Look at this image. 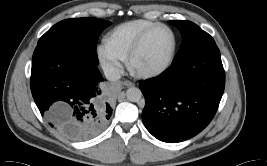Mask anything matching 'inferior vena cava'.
I'll return each mask as SVG.
<instances>
[{
  "mask_svg": "<svg viewBox=\"0 0 267 166\" xmlns=\"http://www.w3.org/2000/svg\"><path fill=\"white\" fill-rule=\"evenodd\" d=\"M103 71L109 81H116L121 77L119 70L113 66H105Z\"/></svg>",
  "mask_w": 267,
  "mask_h": 166,
  "instance_id": "obj_1",
  "label": "inferior vena cava"
}]
</instances>
